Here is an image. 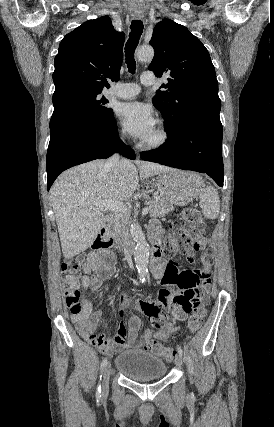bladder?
I'll list each match as a JSON object with an SVG mask.
<instances>
[{
    "label": "bladder",
    "instance_id": "31cf9c89",
    "mask_svg": "<svg viewBox=\"0 0 274 427\" xmlns=\"http://www.w3.org/2000/svg\"><path fill=\"white\" fill-rule=\"evenodd\" d=\"M114 367L118 374L131 379L165 377L167 372L165 360L145 349H131L116 355Z\"/></svg>",
    "mask_w": 274,
    "mask_h": 427
}]
</instances>
